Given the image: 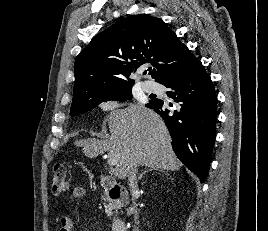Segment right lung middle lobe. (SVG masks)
<instances>
[{
    "instance_id": "right-lung-middle-lobe-1",
    "label": "right lung middle lobe",
    "mask_w": 268,
    "mask_h": 231,
    "mask_svg": "<svg viewBox=\"0 0 268 231\" xmlns=\"http://www.w3.org/2000/svg\"><path fill=\"white\" fill-rule=\"evenodd\" d=\"M131 98H132L131 87L123 88V89L114 91L108 94L107 96L97 99V100L77 102V103L72 104L70 115L76 116L78 114L85 113L104 101H109V100L125 101Z\"/></svg>"
}]
</instances>
